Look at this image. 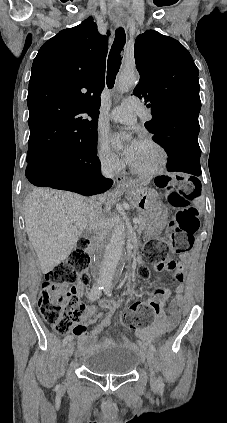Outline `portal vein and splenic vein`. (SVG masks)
<instances>
[{
	"mask_svg": "<svg viewBox=\"0 0 227 423\" xmlns=\"http://www.w3.org/2000/svg\"><path fill=\"white\" fill-rule=\"evenodd\" d=\"M134 223H138V217H133Z\"/></svg>",
	"mask_w": 227,
	"mask_h": 423,
	"instance_id": "obj_1",
	"label": "portal vein and splenic vein"
}]
</instances>
